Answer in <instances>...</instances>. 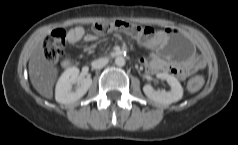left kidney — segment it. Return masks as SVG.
I'll use <instances>...</instances> for the list:
<instances>
[{
	"mask_svg": "<svg viewBox=\"0 0 238 145\" xmlns=\"http://www.w3.org/2000/svg\"><path fill=\"white\" fill-rule=\"evenodd\" d=\"M157 77L162 80H166L171 86V90L169 92L155 91L151 85L147 84L143 87V91L149 99L168 105L173 102H177L182 98L183 88L180 82L174 76L168 73H158Z\"/></svg>",
	"mask_w": 238,
	"mask_h": 145,
	"instance_id": "1",
	"label": "left kidney"
}]
</instances>
